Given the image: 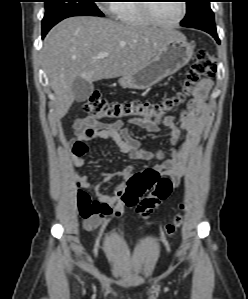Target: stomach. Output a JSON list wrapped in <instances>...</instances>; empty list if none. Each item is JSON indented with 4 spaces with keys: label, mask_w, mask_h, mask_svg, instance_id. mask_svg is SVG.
<instances>
[{
    "label": "stomach",
    "mask_w": 248,
    "mask_h": 299,
    "mask_svg": "<svg viewBox=\"0 0 248 299\" xmlns=\"http://www.w3.org/2000/svg\"><path fill=\"white\" fill-rule=\"evenodd\" d=\"M194 47L185 37L170 40L143 68L123 75L119 83L124 88L147 89L165 77L176 73L192 58Z\"/></svg>",
    "instance_id": "0dacf381"
}]
</instances>
